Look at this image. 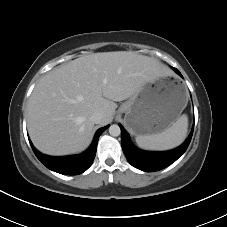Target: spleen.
<instances>
[{"label": "spleen", "mask_w": 227, "mask_h": 227, "mask_svg": "<svg viewBox=\"0 0 227 227\" xmlns=\"http://www.w3.org/2000/svg\"><path fill=\"white\" fill-rule=\"evenodd\" d=\"M187 128L188 117L183 114L163 132L152 135H138L136 142L140 148L146 150H169L179 146L185 140Z\"/></svg>", "instance_id": "obj_1"}]
</instances>
